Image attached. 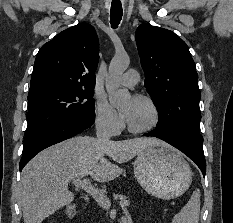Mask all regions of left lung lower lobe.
Returning <instances> with one entry per match:
<instances>
[{"instance_id": "obj_1", "label": "left lung lower lobe", "mask_w": 233, "mask_h": 223, "mask_svg": "<svg viewBox=\"0 0 233 223\" xmlns=\"http://www.w3.org/2000/svg\"><path fill=\"white\" fill-rule=\"evenodd\" d=\"M144 136H154L160 138L175 148L186 154L202 171L203 176L206 173V161L203 152V137L200 133L175 131L168 132L162 130H152L145 133Z\"/></svg>"}]
</instances>
